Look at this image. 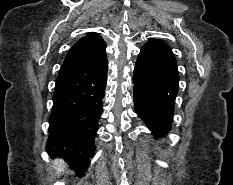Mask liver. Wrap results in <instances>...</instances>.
Listing matches in <instances>:
<instances>
[{
	"mask_svg": "<svg viewBox=\"0 0 233 185\" xmlns=\"http://www.w3.org/2000/svg\"><path fill=\"white\" fill-rule=\"evenodd\" d=\"M54 168L58 171V172H62L65 170L66 168V164L62 159H56L54 162Z\"/></svg>",
	"mask_w": 233,
	"mask_h": 185,
	"instance_id": "obj_1",
	"label": "liver"
}]
</instances>
